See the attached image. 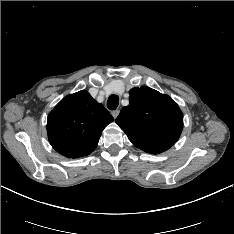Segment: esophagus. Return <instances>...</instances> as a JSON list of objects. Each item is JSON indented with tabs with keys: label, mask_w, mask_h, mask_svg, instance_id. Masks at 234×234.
<instances>
[{
	"label": "esophagus",
	"mask_w": 234,
	"mask_h": 234,
	"mask_svg": "<svg viewBox=\"0 0 234 234\" xmlns=\"http://www.w3.org/2000/svg\"><path fill=\"white\" fill-rule=\"evenodd\" d=\"M119 113H120V110L116 109V110L112 111L111 114H112V116L114 117V119H116L117 116L119 115Z\"/></svg>",
	"instance_id": "obj_1"
}]
</instances>
